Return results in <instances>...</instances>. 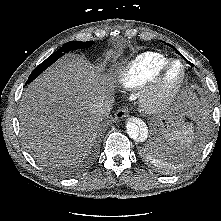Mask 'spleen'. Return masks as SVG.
<instances>
[{
  "label": "spleen",
  "instance_id": "1",
  "mask_svg": "<svg viewBox=\"0 0 221 221\" xmlns=\"http://www.w3.org/2000/svg\"><path fill=\"white\" fill-rule=\"evenodd\" d=\"M164 137L174 149L186 148L194 140L192 126L188 124H179L175 129L165 131Z\"/></svg>",
  "mask_w": 221,
  "mask_h": 221
}]
</instances>
